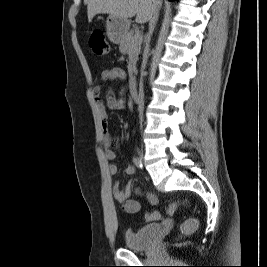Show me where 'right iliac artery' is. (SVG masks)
Returning <instances> with one entry per match:
<instances>
[{"instance_id": "obj_1", "label": "right iliac artery", "mask_w": 267, "mask_h": 267, "mask_svg": "<svg viewBox=\"0 0 267 267\" xmlns=\"http://www.w3.org/2000/svg\"><path fill=\"white\" fill-rule=\"evenodd\" d=\"M133 163L137 168H142V161L138 157H133Z\"/></svg>"}]
</instances>
